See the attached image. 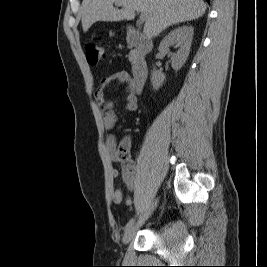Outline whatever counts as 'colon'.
I'll use <instances>...</instances> for the list:
<instances>
[{
	"instance_id": "5ec220e1",
	"label": "colon",
	"mask_w": 267,
	"mask_h": 267,
	"mask_svg": "<svg viewBox=\"0 0 267 267\" xmlns=\"http://www.w3.org/2000/svg\"><path fill=\"white\" fill-rule=\"evenodd\" d=\"M87 60L91 65H96L106 57V49L102 43H90L86 47ZM118 157L122 161L130 159L129 143L123 141L118 149Z\"/></svg>"
}]
</instances>
